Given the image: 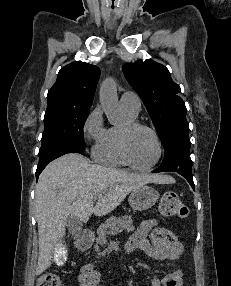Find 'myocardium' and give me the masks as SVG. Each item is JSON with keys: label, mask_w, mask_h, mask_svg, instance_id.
<instances>
[{"label": "myocardium", "mask_w": 231, "mask_h": 286, "mask_svg": "<svg viewBox=\"0 0 231 286\" xmlns=\"http://www.w3.org/2000/svg\"><path fill=\"white\" fill-rule=\"evenodd\" d=\"M138 129H145L148 132H150L156 142L157 145V156L156 159L149 165L147 166H139L137 165L129 152V146H128V141H129V136L131 135L132 132L138 130ZM119 149L122 157L126 161V163L132 167L133 169L137 171H149L152 168H154L161 160L162 155H163V144L160 139L159 134L157 131L152 128L151 126L138 122V121H128L126 122L119 130Z\"/></svg>", "instance_id": "obj_1"}]
</instances>
